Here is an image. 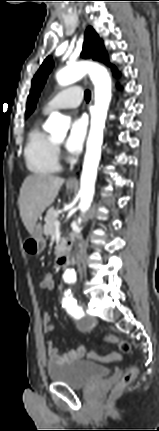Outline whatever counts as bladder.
Returning a JSON list of instances; mask_svg holds the SVG:
<instances>
[{"label":"bladder","mask_w":159,"mask_h":431,"mask_svg":"<svg viewBox=\"0 0 159 431\" xmlns=\"http://www.w3.org/2000/svg\"><path fill=\"white\" fill-rule=\"evenodd\" d=\"M46 373L50 382L78 389L107 377L111 370L93 361L75 360L63 364L49 363Z\"/></svg>","instance_id":"obj_1"}]
</instances>
